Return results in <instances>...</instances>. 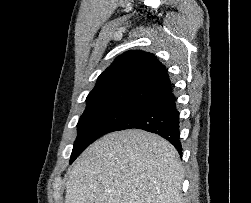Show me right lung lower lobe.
Masks as SVG:
<instances>
[{"label":"right lung lower lobe","mask_w":251,"mask_h":203,"mask_svg":"<svg viewBox=\"0 0 251 203\" xmlns=\"http://www.w3.org/2000/svg\"><path fill=\"white\" fill-rule=\"evenodd\" d=\"M175 101L176 98L173 95L151 107L142 109L119 124L113 131L137 128L158 134L168 140L182 155L179 112Z\"/></svg>","instance_id":"obj_1"}]
</instances>
